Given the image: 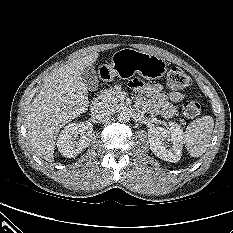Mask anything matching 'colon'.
I'll list each match as a JSON object with an SVG mask.
<instances>
[{
  "mask_svg": "<svg viewBox=\"0 0 233 233\" xmlns=\"http://www.w3.org/2000/svg\"><path fill=\"white\" fill-rule=\"evenodd\" d=\"M191 78L180 68L173 67L167 75V85L169 88L177 90L190 86ZM183 116L187 119L197 118L201 113V106L195 100H187L182 106Z\"/></svg>",
  "mask_w": 233,
  "mask_h": 233,
  "instance_id": "5ec220e1",
  "label": "colon"
}]
</instances>
